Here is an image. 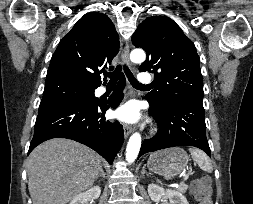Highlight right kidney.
Instances as JSON below:
<instances>
[{
    "instance_id": "right-kidney-1",
    "label": "right kidney",
    "mask_w": 253,
    "mask_h": 204,
    "mask_svg": "<svg viewBox=\"0 0 253 204\" xmlns=\"http://www.w3.org/2000/svg\"><path fill=\"white\" fill-rule=\"evenodd\" d=\"M101 193V188L99 186H94L88 189L84 193H80L75 196L69 204H87L90 199H98Z\"/></svg>"
}]
</instances>
